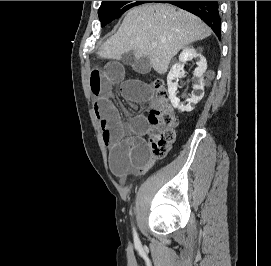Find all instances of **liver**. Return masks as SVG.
Listing matches in <instances>:
<instances>
[{"label": "liver", "instance_id": "liver-1", "mask_svg": "<svg viewBox=\"0 0 271 266\" xmlns=\"http://www.w3.org/2000/svg\"><path fill=\"white\" fill-rule=\"evenodd\" d=\"M211 35L197 16L169 4H144L131 9L118 32L101 47L98 56L120 60L133 50L148 57L153 69L165 74L171 59L185 46Z\"/></svg>", "mask_w": 271, "mask_h": 266}]
</instances>
